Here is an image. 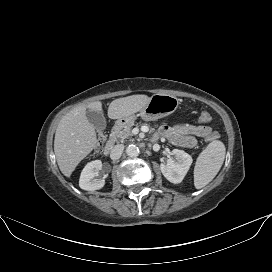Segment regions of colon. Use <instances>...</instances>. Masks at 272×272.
<instances>
[{"mask_svg":"<svg viewBox=\"0 0 272 272\" xmlns=\"http://www.w3.org/2000/svg\"><path fill=\"white\" fill-rule=\"evenodd\" d=\"M211 120V117H210V114L207 113V112H202L200 115H199V121L202 123V124H206L208 123L209 121ZM218 137V135L214 132H211L207 137V141H211V140H214ZM106 140V134L104 132H100L98 134V143L99 145H101L103 142H105Z\"/></svg>","mask_w":272,"mask_h":272,"instance_id":"obj_1","label":"colon"}]
</instances>
